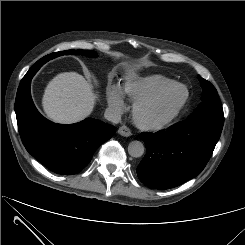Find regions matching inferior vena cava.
<instances>
[{"label": "inferior vena cava", "mask_w": 245, "mask_h": 245, "mask_svg": "<svg viewBox=\"0 0 245 245\" xmlns=\"http://www.w3.org/2000/svg\"><path fill=\"white\" fill-rule=\"evenodd\" d=\"M105 119L112 123H119L121 121V115L119 111L113 109V108H107L104 113Z\"/></svg>", "instance_id": "602c4592"}]
</instances>
